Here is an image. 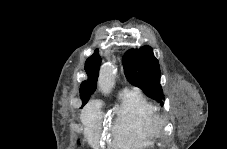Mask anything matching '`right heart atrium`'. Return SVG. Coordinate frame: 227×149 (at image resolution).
<instances>
[{
    "label": "right heart atrium",
    "mask_w": 227,
    "mask_h": 149,
    "mask_svg": "<svg viewBox=\"0 0 227 149\" xmlns=\"http://www.w3.org/2000/svg\"><path fill=\"white\" fill-rule=\"evenodd\" d=\"M101 120L100 105L98 102H92L86 107L82 121L85 126L86 136L93 144L98 142Z\"/></svg>",
    "instance_id": "right-heart-atrium-1"
}]
</instances>
